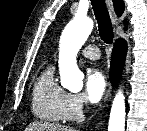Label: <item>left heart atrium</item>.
I'll use <instances>...</instances> for the list:
<instances>
[{
  "mask_svg": "<svg viewBox=\"0 0 147 131\" xmlns=\"http://www.w3.org/2000/svg\"><path fill=\"white\" fill-rule=\"evenodd\" d=\"M106 85V78L99 69H92L88 72L85 82V90L92 103L100 101L105 93Z\"/></svg>",
  "mask_w": 147,
  "mask_h": 131,
  "instance_id": "left-heart-atrium-1",
  "label": "left heart atrium"
}]
</instances>
